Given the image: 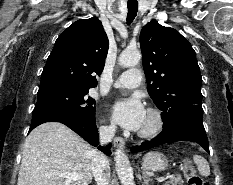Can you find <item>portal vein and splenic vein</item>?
I'll return each mask as SVG.
<instances>
[{
    "mask_svg": "<svg viewBox=\"0 0 233 185\" xmlns=\"http://www.w3.org/2000/svg\"><path fill=\"white\" fill-rule=\"evenodd\" d=\"M61 176L65 177L66 179L65 182L67 184L81 179V177L76 173H64V174H61ZM166 179H167L166 177H159L157 178V181L164 182Z\"/></svg>",
    "mask_w": 233,
    "mask_h": 185,
    "instance_id": "portal-vein-and-splenic-vein-1",
    "label": "portal vein and splenic vein"
}]
</instances>
